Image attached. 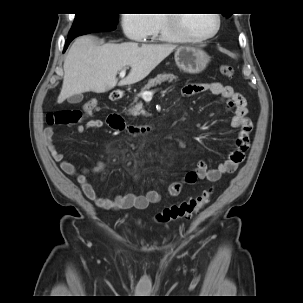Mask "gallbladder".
Listing matches in <instances>:
<instances>
[{
    "label": "gallbladder",
    "instance_id": "obj_1",
    "mask_svg": "<svg viewBox=\"0 0 303 303\" xmlns=\"http://www.w3.org/2000/svg\"><path fill=\"white\" fill-rule=\"evenodd\" d=\"M83 100V95L82 94H77L73 95L68 98V102L71 104H77L80 103Z\"/></svg>",
    "mask_w": 303,
    "mask_h": 303
}]
</instances>
